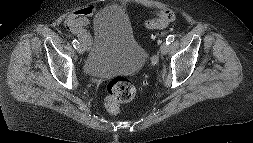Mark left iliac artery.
<instances>
[{
	"mask_svg": "<svg viewBox=\"0 0 253 143\" xmlns=\"http://www.w3.org/2000/svg\"><path fill=\"white\" fill-rule=\"evenodd\" d=\"M174 40H175L174 35H169V36L166 38V43H167V44H171Z\"/></svg>",
	"mask_w": 253,
	"mask_h": 143,
	"instance_id": "44dca946",
	"label": "left iliac artery"
}]
</instances>
